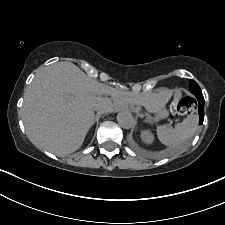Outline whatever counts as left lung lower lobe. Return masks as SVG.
<instances>
[{
	"label": "left lung lower lobe",
	"instance_id": "1",
	"mask_svg": "<svg viewBox=\"0 0 225 225\" xmlns=\"http://www.w3.org/2000/svg\"><path fill=\"white\" fill-rule=\"evenodd\" d=\"M195 97L198 101V112H199V117H200L199 125H201V124H203V120H204V97H203V95L195 96Z\"/></svg>",
	"mask_w": 225,
	"mask_h": 225
}]
</instances>
